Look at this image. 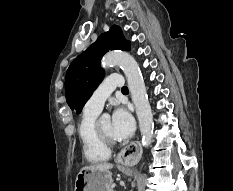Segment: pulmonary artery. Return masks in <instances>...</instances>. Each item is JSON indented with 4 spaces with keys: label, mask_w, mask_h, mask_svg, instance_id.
<instances>
[{
    "label": "pulmonary artery",
    "mask_w": 233,
    "mask_h": 191,
    "mask_svg": "<svg viewBox=\"0 0 233 191\" xmlns=\"http://www.w3.org/2000/svg\"><path fill=\"white\" fill-rule=\"evenodd\" d=\"M123 84V78L120 75L106 77L86 102L85 110L100 113L112 91L121 88Z\"/></svg>",
    "instance_id": "e3ab8cb5"
}]
</instances>
